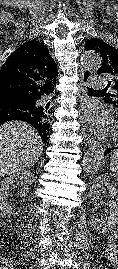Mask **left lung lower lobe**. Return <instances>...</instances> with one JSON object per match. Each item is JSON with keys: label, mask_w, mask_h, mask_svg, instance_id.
<instances>
[{"label": "left lung lower lobe", "mask_w": 118, "mask_h": 269, "mask_svg": "<svg viewBox=\"0 0 118 269\" xmlns=\"http://www.w3.org/2000/svg\"><path fill=\"white\" fill-rule=\"evenodd\" d=\"M114 149H118V147L108 148V149H106V151L104 152V154L107 155V154H109Z\"/></svg>", "instance_id": "obj_1"}]
</instances>
